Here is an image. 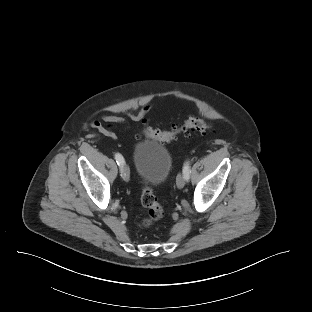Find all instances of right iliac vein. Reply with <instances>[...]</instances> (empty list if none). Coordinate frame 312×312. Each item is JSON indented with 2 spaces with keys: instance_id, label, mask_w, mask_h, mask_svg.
<instances>
[{
  "instance_id": "63e3f726",
  "label": "right iliac vein",
  "mask_w": 312,
  "mask_h": 312,
  "mask_svg": "<svg viewBox=\"0 0 312 312\" xmlns=\"http://www.w3.org/2000/svg\"><path fill=\"white\" fill-rule=\"evenodd\" d=\"M121 175H122V178L125 181H128L129 178H130L129 168H128V166L126 164L123 165L122 168H121Z\"/></svg>"
}]
</instances>
